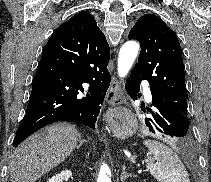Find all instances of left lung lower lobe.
Instances as JSON below:
<instances>
[{
	"label": "left lung lower lobe",
	"mask_w": 211,
	"mask_h": 182,
	"mask_svg": "<svg viewBox=\"0 0 211 182\" xmlns=\"http://www.w3.org/2000/svg\"><path fill=\"white\" fill-rule=\"evenodd\" d=\"M145 80L137 71L132 70L128 78L125 89L133 100L138 99L140 94V82ZM152 93V108L147 110L152 117L146 118V124L152 133L178 137L182 146H188L190 143L188 137L189 119L175 106L166 100Z\"/></svg>",
	"instance_id": "0a47b994"
}]
</instances>
